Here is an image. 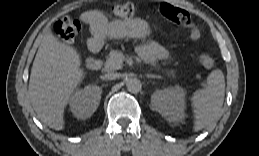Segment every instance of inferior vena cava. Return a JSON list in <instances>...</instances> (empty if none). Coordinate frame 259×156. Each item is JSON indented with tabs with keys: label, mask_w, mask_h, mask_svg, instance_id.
<instances>
[{
	"label": "inferior vena cava",
	"mask_w": 259,
	"mask_h": 156,
	"mask_svg": "<svg viewBox=\"0 0 259 156\" xmlns=\"http://www.w3.org/2000/svg\"><path fill=\"white\" fill-rule=\"evenodd\" d=\"M119 77H120V74L115 73V72H110V73L103 75L102 79L103 80H115V79H118Z\"/></svg>",
	"instance_id": "1"
}]
</instances>
